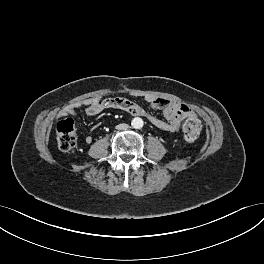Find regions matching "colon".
I'll return each mask as SVG.
<instances>
[{
	"label": "colon",
	"mask_w": 264,
	"mask_h": 264,
	"mask_svg": "<svg viewBox=\"0 0 264 264\" xmlns=\"http://www.w3.org/2000/svg\"><path fill=\"white\" fill-rule=\"evenodd\" d=\"M181 130L187 141H194L201 131V123L197 118L190 117L181 123ZM58 147L63 152H70L76 145V129L71 117H64L56 125Z\"/></svg>",
	"instance_id": "obj_1"
}]
</instances>
